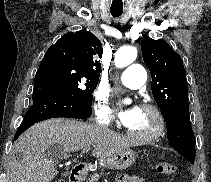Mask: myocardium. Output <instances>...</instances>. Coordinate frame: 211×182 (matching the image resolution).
<instances>
[{
	"mask_svg": "<svg viewBox=\"0 0 211 182\" xmlns=\"http://www.w3.org/2000/svg\"><path fill=\"white\" fill-rule=\"evenodd\" d=\"M141 108L151 111L156 119H157V126L156 129L149 135H139L130 130L129 128L126 129L127 134L134 139L135 141L142 143V144H149L153 143L158 140L165 132L166 129V120L162 113V111L155 105L150 103L142 104Z\"/></svg>",
	"mask_w": 211,
	"mask_h": 182,
	"instance_id": "myocardium-1",
	"label": "myocardium"
}]
</instances>
